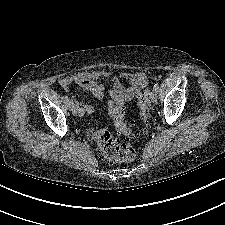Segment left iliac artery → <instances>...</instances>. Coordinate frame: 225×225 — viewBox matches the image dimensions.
<instances>
[{
    "mask_svg": "<svg viewBox=\"0 0 225 225\" xmlns=\"http://www.w3.org/2000/svg\"><path fill=\"white\" fill-rule=\"evenodd\" d=\"M153 89L158 92L159 84L157 82L154 84Z\"/></svg>",
    "mask_w": 225,
    "mask_h": 225,
    "instance_id": "1",
    "label": "left iliac artery"
}]
</instances>
